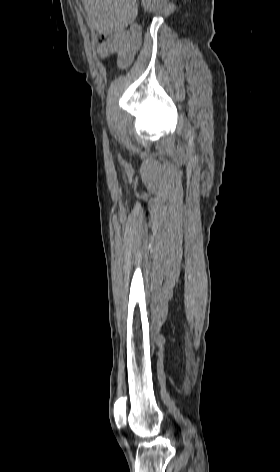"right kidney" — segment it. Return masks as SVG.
Here are the masks:
<instances>
[{
  "mask_svg": "<svg viewBox=\"0 0 280 472\" xmlns=\"http://www.w3.org/2000/svg\"><path fill=\"white\" fill-rule=\"evenodd\" d=\"M155 1L156 0H142L144 8L147 9V10H151L154 7L153 3Z\"/></svg>",
  "mask_w": 280,
  "mask_h": 472,
  "instance_id": "ca27d5eb",
  "label": "right kidney"
}]
</instances>
